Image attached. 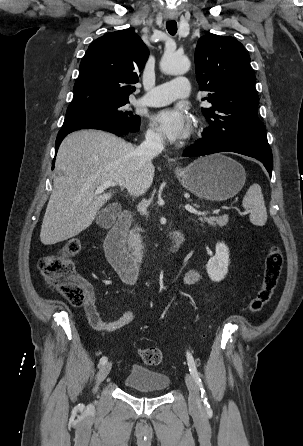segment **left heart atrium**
Instances as JSON below:
<instances>
[{"label":"left heart atrium","mask_w":303,"mask_h":446,"mask_svg":"<svg viewBox=\"0 0 303 446\" xmlns=\"http://www.w3.org/2000/svg\"><path fill=\"white\" fill-rule=\"evenodd\" d=\"M151 119L160 133L172 141L186 138L191 130L190 116L180 106L162 109L153 114Z\"/></svg>","instance_id":"left-heart-atrium-1"}]
</instances>
